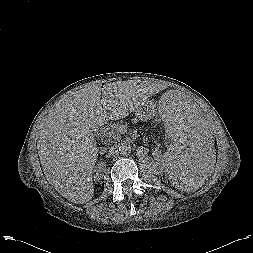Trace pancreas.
Returning a JSON list of instances; mask_svg holds the SVG:
<instances>
[{"label": "pancreas", "mask_w": 253, "mask_h": 253, "mask_svg": "<svg viewBox=\"0 0 253 253\" xmlns=\"http://www.w3.org/2000/svg\"><path fill=\"white\" fill-rule=\"evenodd\" d=\"M122 133H124V130L121 126H113L112 128H104L101 132V135L107 137L108 140H118Z\"/></svg>", "instance_id": "pancreas-1"}]
</instances>
